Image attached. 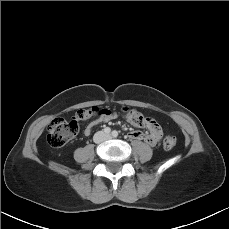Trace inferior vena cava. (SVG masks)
<instances>
[{"mask_svg": "<svg viewBox=\"0 0 229 229\" xmlns=\"http://www.w3.org/2000/svg\"><path fill=\"white\" fill-rule=\"evenodd\" d=\"M97 136H100L101 138L100 139H96ZM105 139H106V135L102 131L96 133L95 141L97 143H99V142H101V141H103Z\"/></svg>", "mask_w": 229, "mask_h": 229, "instance_id": "obj_1", "label": "inferior vena cava"}]
</instances>
